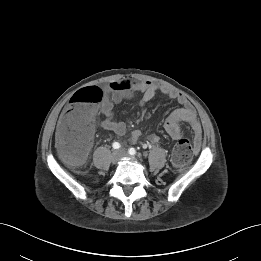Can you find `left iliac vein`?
Here are the masks:
<instances>
[{
    "instance_id": "obj_1",
    "label": "left iliac vein",
    "mask_w": 261,
    "mask_h": 261,
    "mask_svg": "<svg viewBox=\"0 0 261 261\" xmlns=\"http://www.w3.org/2000/svg\"><path fill=\"white\" fill-rule=\"evenodd\" d=\"M121 157H130L129 154L125 150L118 151Z\"/></svg>"
}]
</instances>
